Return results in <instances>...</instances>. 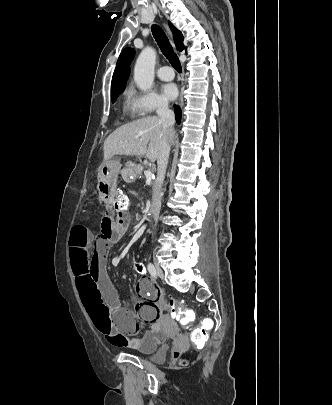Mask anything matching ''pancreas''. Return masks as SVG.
<instances>
[{"label":"pancreas","instance_id":"obj_1","mask_svg":"<svg viewBox=\"0 0 332 405\" xmlns=\"http://www.w3.org/2000/svg\"><path fill=\"white\" fill-rule=\"evenodd\" d=\"M143 170H144V167L142 165H138L136 167V173L137 174H142Z\"/></svg>","mask_w":332,"mask_h":405}]
</instances>
